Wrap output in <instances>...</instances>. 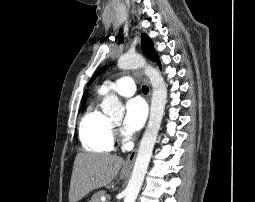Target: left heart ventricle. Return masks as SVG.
Listing matches in <instances>:
<instances>
[{
  "mask_svg": "<svg viewBox=\"0 0 255 202\" xmlns=\"http://www.w3.org/2000/svg\"><path fill=\"white\" fill-rule=\"evenodd\" d=\"M116 123H118V124H119V123H120V119L116 120Z\"/></svg>",
  "mask_w": 255,
  "mask_h": 202,
  "instance_id": "left-heart-ventricle-1",
  "label": "left heart ventricle"
}]
</instances>
